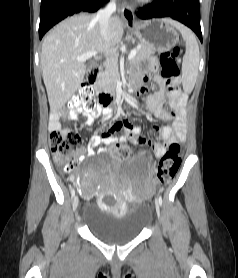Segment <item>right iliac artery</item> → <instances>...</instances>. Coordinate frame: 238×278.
<instances>
[{
	"mask_svg": "<svg viewBox=\"0 0 238 278\" xmlns=\"http://www.w3.org/2000/svg\"><path fill=\"white\" fill-rule=\"evenodd\" d=\"M71 196H72V198L75 197V190H74V188H71Z\"/></svg>",
	"mask_w": 238,
	"mask_h": 278,
	"instance_id": "1",
	"label": "right iliac artery"
}]
</instances>
